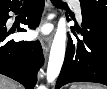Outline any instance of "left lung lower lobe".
I'll use <instances>...</instances> for the list:
<instances>
[{"mask_svg":"<svg viewBox=\"0 0 107 89\" xmlns=\"http://www.w3.org/2000/svg\"><path fill=\"white\" fill-rule=\"evenodd\" d=\"M83 40L68 38L55 89L71 82L107 85V14L82 11Z\"/></svg>","mask_w":107,"mask_h":89,"instance_id":"0a47b994","label":"left lung lower lobe"}]
</instances>
